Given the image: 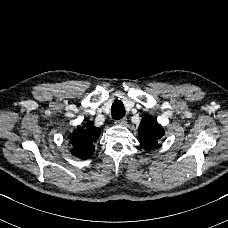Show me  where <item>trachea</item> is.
I'll return each mask as SVG.
<instances>
[{"mask_svg": "<svg viewBox=\"0 0 228 228\" xmlns=\"http://www.w3.org/2000/svg\"><path fill=\"white\" fill-rule=\"evenodd\" d=\"M112 117L115 120L122 119L125 116V108L120 100H116L111 107Z\"/></svg>", "mask_w": 228, "mask_h": 228, "instance_id": "1", "label": "trachea"}]
</instances>
